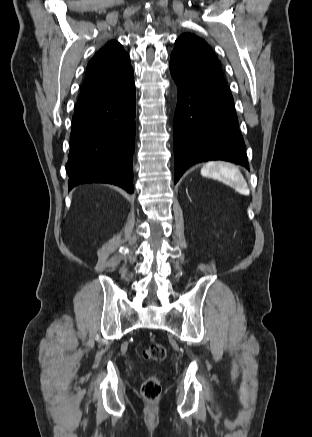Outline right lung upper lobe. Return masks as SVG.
<instances>
[{
    "label": "right lung upper lobe",
    "mask_w": 312,
    "mask_h": 437,
    "mask_svg": "<svg viewBox=\"0 0 312 437\" xmlns=\"http://www.w3.org/2000/svg\"><path fill=\"white\" fill-rule=\"evenodd\" d=\"M133 73L129 55L112 40L90 60L77 104L93 100L122 84Z\"/></svg>",
    "instance_id": "right-lung-upper-lobe-1"
}]
</instances>
